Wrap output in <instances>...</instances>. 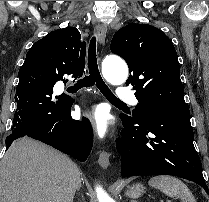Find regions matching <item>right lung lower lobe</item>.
<instances>
[{
  "mask_svg": "<svg viewBox=\"0 0 209 202\" xmlns=\"http://www.w3.org/2000/svg\"><path fill=\"white\" fill-rule=\"evenodd\" d=\"M15 101L17 109L12 132L6 140L7 148L13 140L29 136L81 162L87 159L93 144V130L88 119H72L74 100L71 97L55 96L53 87L41 83L37 77H28L19 79Z\"/></svg>",
  "mask_w": 209,
  "mask_h": 202,
  "instance_id": "1",
  "label": "right lung lower lobe"
}]
</instances>
